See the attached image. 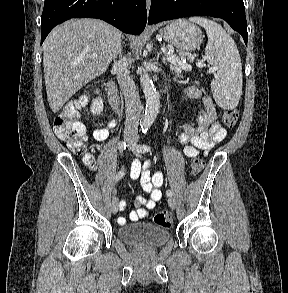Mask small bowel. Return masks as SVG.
Returning <instances> with one entry per match:
<instances>
[{
	"label": "small bowel",
	"instance_id": "1",
	"mask_svg": "<svg viewBox=\"0 0 288 293\" xmlns=\"http://www.w3.org/2000/svg\"><path fill=\"white\" fill-rule=\"evenodd\" d=\"M201 98L204 109L198 115L194 126L185 123L183 131L175 137V140L185 145L184 154L187 157H195L202 150L205 153L213 149L217 144L226 137V130L217 121L216 112L213 102L208 96H202L201 90L197 83L188 86L180 100V105L187 99ZM115 126V121H110L105 127L96 129L93 132V137L98 141H103L109 136L110 130ZM131 178L138 180L144 192L149 194V198L138 196L135 200L137 209L129 215L131 221H138L145 218L149 210H152L157 202L162 198L161 187L164 182L162 172L157 171L153 174L149 171L148 164H141L139 160H134L130 170ZM126 206V201L120 202V207L123 209ZM119 224L126 222L125 218H118Z\"/></svg>",
	"mask_w": 288,
	"mask_h": 293
}]
</instances>
